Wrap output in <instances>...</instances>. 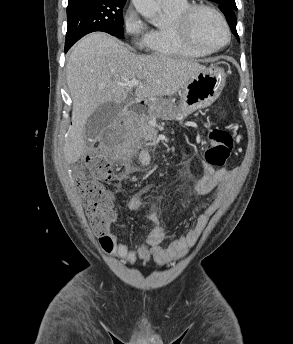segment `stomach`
Here are the masks:
<instances>
[{
	"mask_svg": "<svg viewBox=\"0 0 293 344\" xmlns=\"http://www.w3.org/2000/svg\"><path fill=\"white\" fill-rule=\"evenodd\" d=\"M224 85L223 69L205 67L182 87L178 106L171 99L162 98L146 100L144 103L151 115L162 120H176L210 106L219 97Z\"/></svg>",
	"mask_w": 293,
	"mask_h": 344,
	"instance_id": "stomach-1",
	"label": "stomach"
}]
</instances>
